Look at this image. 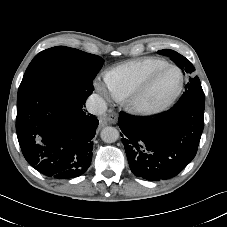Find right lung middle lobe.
<instances>
[{"instance_id": "dd1d6c3e", "label": "right lung middle lobe", "mask_w": 227, "mask_h": 227, "mask_svg": "<svg viewBox=\"0 0 227 227\" xmlns=\"http://www.w3.org/2000/svg\"><path fill=\"white\" fill-rule=\"evenodd\" d=\"M103 59L74 48L56 46L38 53L29 64L17 99L43 85H67L93 90Z\"/></svg>"}]
</instances>
